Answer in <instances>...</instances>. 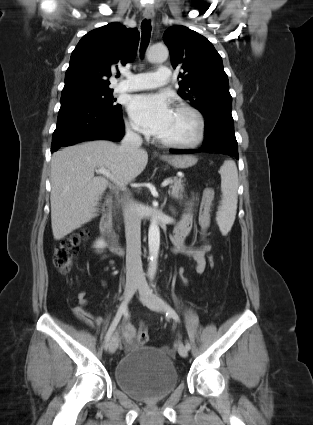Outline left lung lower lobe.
<instances>
[{
	"mask_svg": "<svg viewBox=\"0 0 313 425\" xmlns=\"http://www.w3.org/2000/svg\"><path fill=\"white\" fill-rule=\"evenodd\" d=\"M205 139L199 151L194 149H170L171 153L192 154L201 151H212L233 155L238 159V146L234 133L233 118L216 117L205 122Z\"/></svg>",
	"mask_w": 313,
	"mask_h": 425,
	"instance_id": "1",
	"label": "left lung lower lobe"
}]
</instances>
